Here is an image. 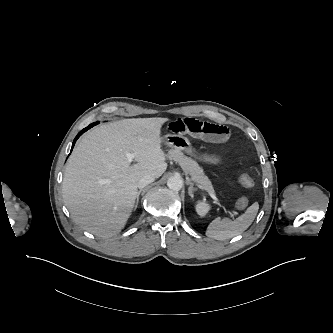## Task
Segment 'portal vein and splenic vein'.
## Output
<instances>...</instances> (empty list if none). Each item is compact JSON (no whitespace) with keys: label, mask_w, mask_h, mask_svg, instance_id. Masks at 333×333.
Wrapping results in <instances>:
<instances>
[{"label":"portal vein and splenic vein","mask_w":333,"mask_h":333,"mask_svg":"<svg viewBox=\"0 0 333 333\" xmlns=\"http://www.w3.org/2000/svg\"><path fill=\"white\" fill-rule=\"evenodd\" d=\"M126 157H127V161H128V163H131L132 160L135 158V154H133V153H126ZM211 195H212L213 199H214L216 202L219 201L218 198H217L213 193H211ZM222 207H223V209L225 210V212H226L230 217H233L234 215H236V212H235V211H233V210H229V209H226L225 206H222Z\"/></svg>","instance_id":"1"}]
</instances>
